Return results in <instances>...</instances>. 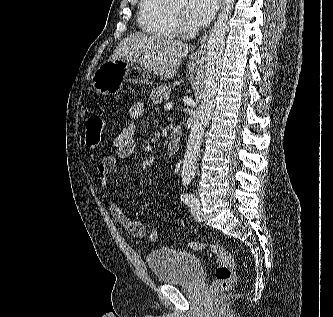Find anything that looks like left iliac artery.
Returning a JSON list of instances; mask_svg holds the SVG:
<instances>
[{
	"mask_svg": "<svg viewBox=\"0 0 333 317\" xmlns=\"http://www.w3.org/2000/svg\"><path fill=\"white\" fill-rule=\"evenodd\" d=\"M181 200L189 207H193L198 201V199L193 194L187 192H183L181 194Z\"/></svg>",
	"mask_w": 333,
	"mask_h": 317,
	"instance_id": "44dca946",
	"label": "left iliac artery"
}]
</instances>
